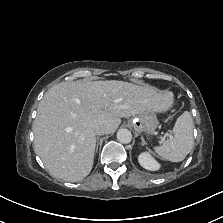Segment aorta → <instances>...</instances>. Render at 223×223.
<instances>
[{
  "instance_id": "1",
  "label": "aorta",
  "mask_w": 223,
  "mask_h": 223,
  "mask_svg": "<svg viewBox=\"0 0 223 223\" xmlns=\"http://www.w3.org/2000/svg\"><path fill=\"white\" fill-rule=\"evenodd\" d=\"M117 140L120 143L128 144L132 141V133L128 129H119L117 132Z\"/></svg>"
}]
</instances>
